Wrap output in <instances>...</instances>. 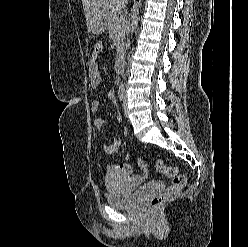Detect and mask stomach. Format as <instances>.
Segmentation results:
<instances>
[{
  "label": "stomach",
  "mask_w": 248,
  "mask_h": 247,
  "mask_svg": "<svg viewBox=\"0 0 248 247\" xmlns=\"http://www.w3.org/2000/svg\"><path fill=\"white\" fill-rule=\"evenodd\" d=\"M107 14V13H106ZM103 15L91 29L92 33L95 35L102 34L107 26V16Z\"/></svg>",
  "instance_id": "0dacf381"
}]
</instances>
